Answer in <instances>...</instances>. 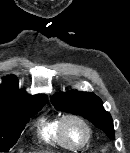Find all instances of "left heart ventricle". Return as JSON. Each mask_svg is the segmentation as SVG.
Masks as SVG:
<instances>
[{
  "instance_id": "b2bd125f",
  "label": "left heart ventricle",
  "mask_w": 130,
  "mask_h": 153,
  "mask_svg": "<svg viewBox=\"0 0 130 153\" xmlns=\"http://www.w3.org/2000/svg\"><path fill=\"white\" fill-rule=\"evenodd\" d=\"M66 135L75 145L81 144L86 137L83 127L76 121H69L65 127Z\"/></svg>"
}]
</instances>
